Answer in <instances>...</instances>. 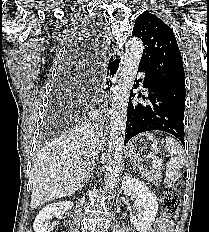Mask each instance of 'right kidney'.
I'll return each mask as SVG.
<instances>
[{
    "instance_id": "obj_1",
    "label": "right kidney",
    "mask_w": 209,
    "mask_h": 232,
    "mask_svg": "<svg viewBox=\"0 0 209 232\" xmlns=\"http://www.w3.org/2000/svg\"><path fill=\"white\" fill-rule=\"evenodd\" d=\"M72 207L73 202L71 201H62L47 205L35 218L33 223L34 232H50L49 220L53 217H59L62 210L67 211Z\"/></svg>"
}]
</instances>
